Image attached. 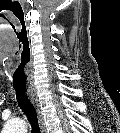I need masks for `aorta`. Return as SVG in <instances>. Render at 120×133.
I'll list each match as a JSON object with an SVG mask.
<instances>
[{
	"instance_id": "obj_1",
	"label": "aorta",
	"mask_w": 120,
	"mask_h": 133,
	"mask_svg": "<svg viewBox=\"0 0 120 133\" xmlns=\"http://www.w3.org/2000/svg\"><path fill=\"white\" fill-rule=\"evenodd\" d=\"M25 129V123L21 120L9 122L6 126L7 133H20L22 131H25Z\"/></svg>"
}]
</instances>
